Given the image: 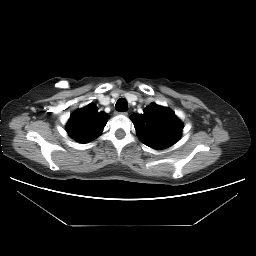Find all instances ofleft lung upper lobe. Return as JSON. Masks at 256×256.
Segmentation results:
<instances>
[{"label":"left lung upper lobe","instance_id":"obj_1","mask_svg":"<svg viewBox=\"0 0 256 256\" xmlns=\"http://www.w3.org/2000/svg\"><path fill=\"white\" fill-rule=\"evenodd\" d=\"M138 138L154 149L175 144L182 132V123L169 108L151 104L143 114L131 115Z\"/></svg>","mask_w":256,"mask_h":256}]
</instances>
